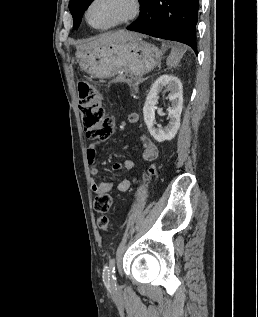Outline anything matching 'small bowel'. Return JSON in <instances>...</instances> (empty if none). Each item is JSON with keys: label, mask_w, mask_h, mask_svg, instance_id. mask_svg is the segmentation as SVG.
<instances>
[{"label": "small bowel", "mask_w": 258, "mask_h": 317, "mask_svg": "<svg viewBox=\"0 0 258 317\" xmlns=\"http://www.w3.org/2000/svg\"><path fill=\"white\" fill-rule=\"evenodd\" d=\"M139 116L136 113H132L128 116L127 122L128 124H136L138 122ZM139 139L141 141L142 147H143V158L150 163V167L148 170V175L152 176L156 172V166L155 162L158 158L159 151L154 143V141L148 137L145 134H141L139 136ZM97 145L98 142L91 143L86 151L87 160L89 163V171L92 176L90 181L91 190L96 193H110L113 188L114 184L109 181H98L95 176L99 173V167L96 162L97 157ZM115 170H119L121 168H124L126 171H132L134 168V162L131 159H125L122 163H117L113 167ZM132 182L128 179L122 180L118 185L117 189L120 192H126L131 187Z\"/></svg>", "instance_id": "small-bowel-1"}]
</instances>
